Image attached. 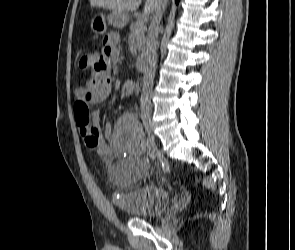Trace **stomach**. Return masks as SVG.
<instances>
[{"mask_svg":"<svg viewBox=\"0 0 295 250\" xmlns=\"http://www.w3.org/2000/svg\"><path fill=\"white\" fill-rule=\"evenodd\" d=\"M106 21L113 27L122 28L127 24L128 16L126 12L117 11H112L106 18L102 15H96V19L91 25V28L96 32V35H103V32L106 30Z\"/></svg>","mask_w":295,"mask_h":250,"instance_id":"obj_1","label":"stomach"}]
</instances>
